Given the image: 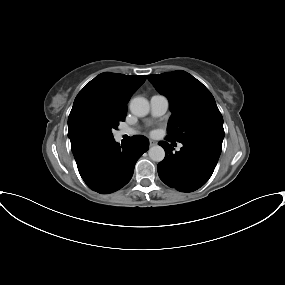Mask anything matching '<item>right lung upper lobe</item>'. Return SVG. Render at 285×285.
Returning a JSON list of instances; mask_svg holds the SVG:
<instances>
[{
	"instance_id": "right-lung-upper-lobe-1",
	"label": "right lung upper lobe",
	"mask_w": 285,
	"mask_h": 285,
	"mask_svg": "<svg viewBox=\"0 0 285 285\" xmlns=\"http://www.w3.org/2000/svg\"><path fill=\"white\" fill-rule=\"evenodd\" d=\"M145 80L146 75L126 76L105 72L86 84L75 98L68 118L71 149L83 144L80 124L84 118L114 117L124 121L130 97Z\"/></svg>"
}]
</instances>
